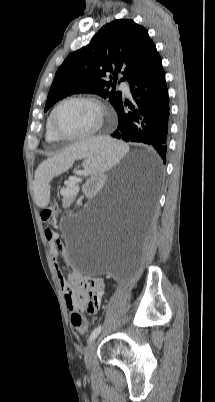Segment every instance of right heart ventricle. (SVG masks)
<instances>
[{"label":"right heart ventricle","mask_w":215,"mask_h":402,"mask_svg":"<svg viewBox=\"0 0 215 402\" xmlns=\"http://www.w3.org/2000/svg\"><path fill=\"white\" fill-rule=\"evenodd\" d=\"M46 140L50 143H55L60 141L52 132L51 127H50V116L47 119L46 123V134H45Z\"/></svg>","instance_id":"1"}]
</instances>
